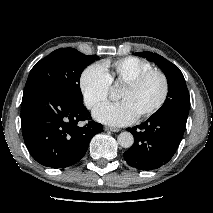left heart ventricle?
I'll return each mask as SVG.
<instances>
[{"instance_id":"obj_1","label":"left heart ventricle","mask_w":213,"mask_h":213,"mask_svg":"<svg viewBox=\"0 0 213 213\" xmlns=\"http://www.w3.org/2000/svg\"><path fill=\"white\" fill-rule=\"evenodd\" d=\"M162 90L160 77L153 75L136 88L124 86L120 91L119 99L129 102L138 116L158 101Z\"/></svg>"}]
</instances>
